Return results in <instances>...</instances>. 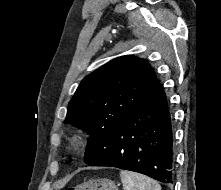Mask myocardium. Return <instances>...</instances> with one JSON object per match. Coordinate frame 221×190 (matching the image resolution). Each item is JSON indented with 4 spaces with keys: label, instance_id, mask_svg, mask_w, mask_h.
Instances as JSON below:
<instances>
[{
    "label": "myocardium",
    "instance_id": "f54148a6",
    "mask_svg": "<svg viewBox=\"0 0 221 190\" xmlns=\"http://www.w3.org/2000/svg\"><path fill=\"white\" fill-rule=\"evenodd\" d=\"M73 141L75 142V141H77V138L75 137V138H73Z\"/></svg>",
    "mask_w": 221,
    "mask_h": 190
}]
</instances>
